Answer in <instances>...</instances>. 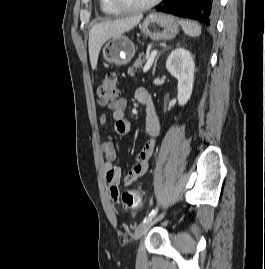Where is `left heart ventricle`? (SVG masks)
Here are the masks:
<instances>
[{
	"mask_svg": "<svg viewBox=\"0 0 265 269\" xmlns=\"http://www.w3.org/2000/svg\"><path fill=\"white\" fill-rule=\"evenodd\" d=\"M124 3L126 4H130V5H139V4H143L149 0H122Z\"/></svg>",
	"mask_w": 265,
	"mask_h": 269,
	"instance_id": "left-heart-ventricle-1",
	"label": "left heart ventricle"
}]
</instances>
